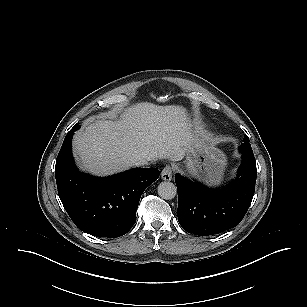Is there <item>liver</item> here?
Instances as JSON below:
<instances>
[{"label":"liver","mask_w":307,"mask_h":307,"mask_svg":"<svg viewBox=\"0 0 307 307\" xmlns=\"http://www.w3.org/2000/svg\"><path fill=\"white\" fill-rule=\"evenodd\" d=\"M186 109L137 103L120 119L96 120L75 134L74 152L92 174L111 175L134 166L139 159L181 160L194 139Z\"/></svg>","instance_id":"liver-1"}]
</instances>
